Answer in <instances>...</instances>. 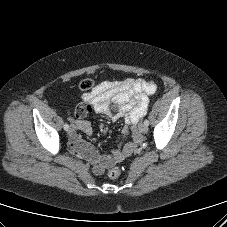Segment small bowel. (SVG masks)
<instances>
[{
  "label": "small bowel",
  "mask_w": 227,
  "mask_h": 227,
  "mask_svg": "<svg viewBox=\"0 0 227 227\" xmlns=\"http://www.w3.org/2000/svg\"><path fill=\"white\" fill-rule=\"evenodd\" d=\"M154 82L137 78L119 81H104L83 96L84 104L76 108L77 119L74 121V132L70 136L71 148L78 151L93 164V172L102 174L105 169L130 156L140 142L136 125L145 116L149 104V96L156 92ZM92 110L108 114L114 119L123 118L125 127L123 136L131 134L132 140L114 150L111 154L99 155L95 148L84 141L79 132L91 135V123L84 120Z\"/></svg>",
  "instance_id": "obj_1"
}]
</instances>
